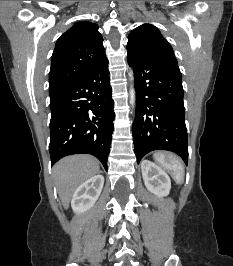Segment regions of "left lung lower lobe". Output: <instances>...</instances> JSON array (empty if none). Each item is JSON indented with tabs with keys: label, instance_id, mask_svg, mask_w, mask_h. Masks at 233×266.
I'll return each mask as SVG.
<instances>
[{
	"label": "left lung lower lobe",
	"instance_id": "1",
	"mask_svg": "<svg viewBox=\"0 0 233 266\" xmlns=\"http://www.w3.org/2000/svg\"><path fill=\"white\" fill-rule=\"evenodd\" d=\"M136 89L133 143L137 163L153 150H169L188 162L182 76L177 60L127 49Z\"/></svg>",
	"mask_w": 233,
	"mask_h": 266
}]
</instances>
